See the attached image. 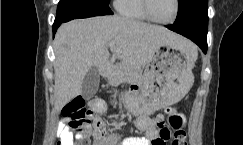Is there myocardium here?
Instances as JSON below:
<instances>
[{
	"label": "myocardium",
	"instance_id": "1",
	"mask_svg": "<svg viewBox=\"0 0 243 145\" xmlns=\"http://www.w3.org/2000/svg\"><path fill=\"white\" fill-rule=\"evenodd\" d=\"M174 3H175V10H174L172 19L169 21H160V20H157L152 15V12L150 9V0H141L142 9H143L145 15L147 16V18L154 23L162 24V25H171L176 21L178 15H179L180 3H179V0H174Z\"/></svg>",
	"mask_w": 243,
	"mask_h": 145
}]
</instances>
